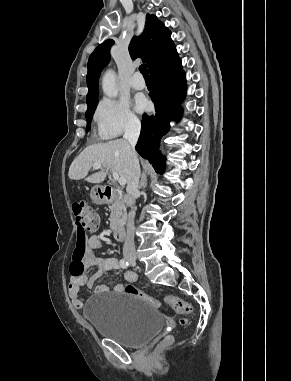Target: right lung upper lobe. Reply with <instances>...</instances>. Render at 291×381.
<instances>
[{"label": "right lung upper lobe", "mask_w": 291, "mask_h": 381, "mask_svg": "<svg viewBox=\"0 0 291 381\" xmlns=\"http://www.w3.org/2000/svg\"><path fill=\"white\" fill-rule=\"evenodd\" d=\"M170 36L171 32L155 15L147 14L143 33L140 36L134 37L130 42L129 50L132 59L137 57L142 58L150 71L154 66L164 61L176 51ZM113 44L114 41L112 39L104 41L89 57L87 105L98 100L99 75L103 67L110 60L109 52Z\"/></svg>", "instance_id": "1"}]
</instances>
